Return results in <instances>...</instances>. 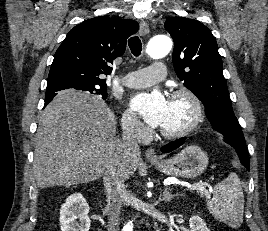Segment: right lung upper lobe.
Returning a JSON list of instances; mask_svg holds the SVG:
<instances>
[{"mask_svg": "<svg viewBox=\"0 0 268 231\" xmlns=\"http://www.w3.org/2000/svg\"><path fill=\"white\" fill-rule=\"evenodd\" d=\"M134 20L99 16L88 19L67 34L57 49L47 80L48 88L106 87L113 60L125 52L127 38L136 33ZM54 93L45 97L50 102Z\"/></svg>", "mask_w": 268, "mask_h": 231, "instance_id": "cb5924a9", "label": "right lung upper lobe"}]
</instances>
